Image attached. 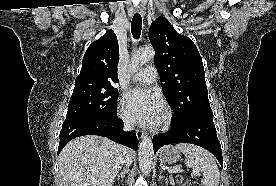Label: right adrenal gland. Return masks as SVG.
I'll return each mask as SVG.
<instances>
[{"mask_svg":"<svg viewBox=\"0 0 276 186\" xmlns=\"http://www.w3.org/2000/svg\"><path fill=\"white\" fill-rule=\"evenodd\" d=\"M128 173V170L126 168H123L120 174L117 175V179L119 178H125V175Z\"/></svg>","mask_w":276,"mask_h":186,"instance_id":"obj_1","label":"right adrenal gland"}]
</instances>
